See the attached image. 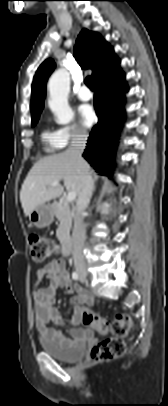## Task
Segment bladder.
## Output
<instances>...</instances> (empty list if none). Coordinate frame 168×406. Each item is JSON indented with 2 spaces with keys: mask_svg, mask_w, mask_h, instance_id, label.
<instances>
[{
  "mask_svg": "<svg viewBox=\"0 0 168 406\" xmlns=\"http://www.w3.org/2000/svg\"><path fill=\"white\" fill-rule=\"evenodd\" d=\"M39 342L42 350L51 357L64 362H74L84 356L86 345L77 343L70 346L58 345L40 336Z\"/></svg>",
  "mask_w": 168,
  "mask_h": 406,
  "instance_id": "bladder-1",
  "label": "bladder"
}]
</instances>
